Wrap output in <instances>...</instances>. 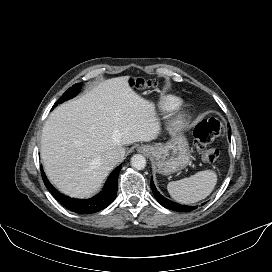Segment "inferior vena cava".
I'll return each mask as SVG.
<instances>
[{"mask_svg": "<svg viewBox=\"0 0 272 272\" xmlns=\"http://www.w3.org/2000/svg\"><path fill=\"white\" fill-rule=\"evenodd\" d=\"M102 160L111 165H116L121 161V152L118 149L110 150L103 155Z\"/></svg>", "mask_w": 272, "mask_h": 272, "instance_id": "inferior-vena-cava-1", "label": "inferior vena cava"}]
</instances>
